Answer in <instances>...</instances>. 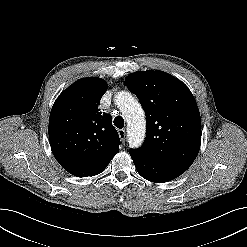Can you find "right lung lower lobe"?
I'll return each instance as SVG.
<instances>
[{
  "mask_svg": "<svg viewBox=\"0 0 247 247\" xmlns=\"http://www.w3.org/2000/svg\"><path fill=\"white\" fill-rule=\"evenodd\" d=\"M111 159L96 165L94 167L88 168V169H76V170H69L68 172L77 176V177H88V176H95L101 172L104 171V169L107 167Z\"/></svg>",
  "mask_w": 247,
  "mask_h": 247,
  "instance_id": "98d812e1",
  "label": "right lung lower lobe"
}]
</instances>
